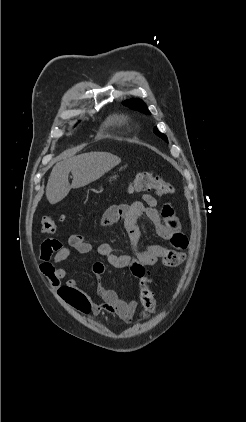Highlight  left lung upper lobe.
Instances as JSON below:
<instances>
[{
	"instance_id": "left-lung-upper-lobe-1",
	"label": "left lung upper lobe",
	"mask_w": 246,
	"mask_h": 422,
	"mask_svg": "<svg viewBox=\"0 0 246 422\" xmlns=\"http://www.w3.org/2000/svg\"><path fill=\"white\" fill-rule=\"evenodd\" d=\"M124 105L135 109V110H139L141 112L150 114L149 110L147 109L146 105L139 99H134V100H129L124 102ZM154 132L156 135H158L159 137H161L162 139H164L166 142H168L166 135H164L163 133H161L160 131H158L157 128L154 129Z\"/></svg>"
}]
</instances>
